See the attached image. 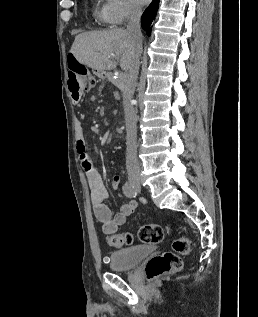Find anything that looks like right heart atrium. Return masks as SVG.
<instances>
[{
  "instance_id": "d8ad5b80",
  "label": "right heart atrium",
  "mask_w": 258,
  "mask_h": 317,
  "mask_svg": "<svg viewBox=\"0 0 258 317\" xmlns=\"http://www.w3.org/2000/svg\"><path fill=\"white\" fill-rule=\"evenodd\" d=\"M138 5L134 0H107V24L123 26L128 19L138 12Z\"/></svg>"
}]
</instances>
